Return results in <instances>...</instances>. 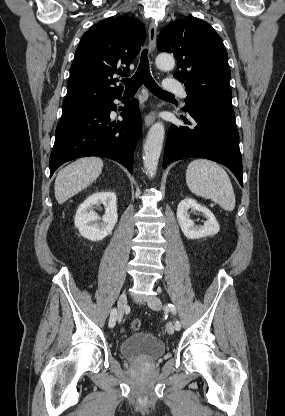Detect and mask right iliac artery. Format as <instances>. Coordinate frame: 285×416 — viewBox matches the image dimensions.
Listing matches in <instances>:
<instances>
[{
	"mask_svg": "<svg viewBox=\"0 0 285 416\" xmlns=\"http://www.w3.org/2000/svg\"><path fill=\"white\" fill-rule=\"evenodd\" d=\"M116 315H117V309L113 308L111 310V313H110L109 327H114L115 326Z\"/></svg>",
	"mask_w": 285,
	"mask_h": 416,
	"instance_id": "right-iliac-artery-1",
	"label": "right iliac artery"
}]
</instances>
